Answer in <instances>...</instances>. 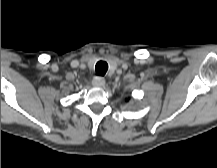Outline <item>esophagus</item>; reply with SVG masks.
I'll return each instance as SVG.
<instances>
[{"label": "esophagus", "mask_w": 217, "mask_h": 168, "mask_svg": "<svg viewBox=\"0 0 217 168\" xmlns=\"http://www.w3.org/2000/svg\"><path fill=\"white\" fill-rule=\"evenodd\" d=\"M92 85L95 87H103L105 85V79L100 76H96L92 80Z\"/></svg>", "instance_id": "1"}]
</instances>
